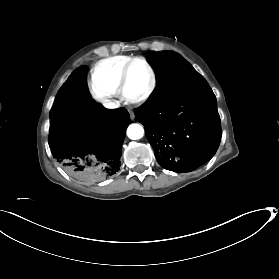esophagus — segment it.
Masks as SVG:
<instances>
[{
  "label": "esophagus",
  "instance_id": "1",
  "mask_svg": "<svg viewBox=\"0 0 279 279\" xmlns=\"http://www.w3.org/2000/svg\"><path fill=\"white\" fill-rule=\"evenodd\" d=\"M129 113H130L131 119H134V117H135L134 112L133 111H129Z\"/></svg>",
  "mask_w": 279,
  "mask_h": 279
}]
</instances>
